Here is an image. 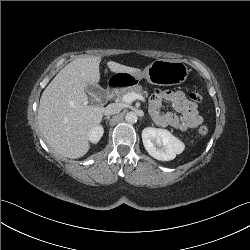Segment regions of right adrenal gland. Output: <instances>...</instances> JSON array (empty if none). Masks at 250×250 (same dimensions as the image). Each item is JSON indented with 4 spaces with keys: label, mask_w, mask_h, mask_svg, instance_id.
Here are the masks:
<instances>
[{
    "label": "right adrenal gland",
    "mask_w": 250,
    "mask_h": 250,
    "mask_svg": "<svg viewBox=\"0 0 250 250\" xmlns=\"http://www.w3.org/2000/svg\"><path fill=\"white\" fill-rule=\"evenodd\" d=\"M110 118H111L110 116H107V117H104V120H108L109 121Z\"/></svg>",
    "instance_id": "obj_1"
}]
</instances>
